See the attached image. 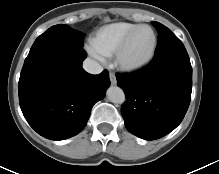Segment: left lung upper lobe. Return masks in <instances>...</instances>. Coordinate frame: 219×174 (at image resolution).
Returning a JSON list of instances; mask_svg holds the SVG:
<instances>
[{
  "mask_svg": "<svg viewBox=\"0 0 219 174\" xmlns=\"http://www.w3.org/2000/svg\"><path fill=\"white\" fill-rule=\"evenodd\" d=\"M152 25L157 29L158 32V43L155 54L172 49L185 50L182 42L172 33L169 28L158 22H152Z\"/></svg>",
  "mask_w": 219,
  "mask_h": 174,
  "instance_id": "1",
  "label": "left lung upper lobe"
}]
</instances>
